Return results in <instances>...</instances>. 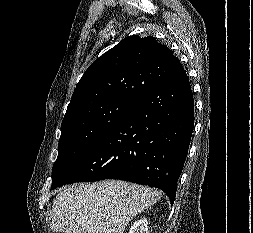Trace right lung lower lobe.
<instances>
[{"label":"right lung lower lobe","instance_id":"obj_1","mask_svg":"<svg viewBox=\"0 0 253 233\" xmlns=\"http://www.w3.org/2000/svg\"><path fill=\"white\" fill-rule=\"evenodd\" d=\"M193 127V93L182 69L136 99L113 130L51 188L122 179L157 187L173 204Z\"/></svg>","mask_w":253,"mask_h":233}]
</instances>
